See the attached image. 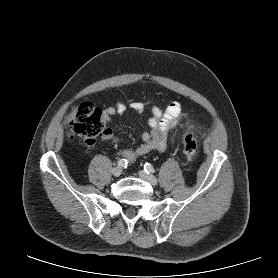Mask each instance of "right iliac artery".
<instances>
[{"label":"right iliac artery","instance_id":"1","mask_svg":"<svg viewBox=\"0 0 278 278\" xmlns=\"http://www.w3.org/2000/svg\"><path fill=\"white\" fill-rule=\"evenodd\" d=\"M128 161L126 159H120L118 161V166L119 167H127Z\"/></svg>","mask_w":278,"mask_h":278}]
</instances>
